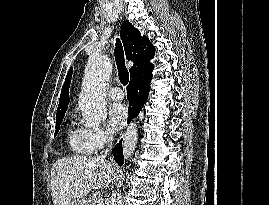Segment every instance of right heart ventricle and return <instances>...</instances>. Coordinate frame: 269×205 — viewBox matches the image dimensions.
Listing matches in <instances>:
<instances>
[{
	"mask_svg": "<svg viewBox=\"0 0 269 205\" xmlns=\"http://www.w3.org/2000/svg\"><path fill=\"white\" fill-rule=\"evenodd\" d=\"M68 143L70 149L77 155L88 156L93 152L83 139L82 129L71 128L68 134Z\"/></svg>",
	"mask_w": 269,
	"mask_h": 205,
	"instance_id": "right-heart-ventricle-1",
	"label": "right heart ventricle"
}]
</instances>
